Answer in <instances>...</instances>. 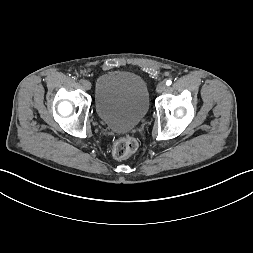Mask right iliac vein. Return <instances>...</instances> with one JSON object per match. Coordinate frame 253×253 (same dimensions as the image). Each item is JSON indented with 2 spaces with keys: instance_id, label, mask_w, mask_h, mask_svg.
Masks as SVG:
<instances>
[{
  "instance_id": "1",
  "label": "right iliac vein",
  "mask_w": 253,
  "mask_h": 253,
  "mask_svg": "<svg viewBox=\"0 0 253 253\" xmlns=\"http://www.w3.org/2000/svg\"><path fill=\"white\" fill-rule=\"evenodd\" d=\"M83 88L85 90H90L91 89V83L87 80L84 81V83L82 84Z\"/></svg>"
}]
</instances>
